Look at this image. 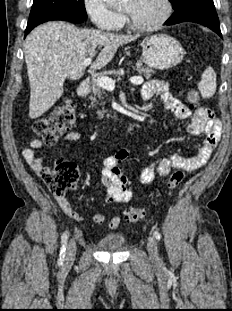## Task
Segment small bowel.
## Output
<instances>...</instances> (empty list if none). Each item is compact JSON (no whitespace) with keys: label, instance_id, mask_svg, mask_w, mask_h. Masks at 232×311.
<instances>
[{"label":"small bowel","instance_id":"1","mask_svg":"<svg viewBox=\"0 0 232 311\" xmlns=\"http://www.w3.org/2000/svg\"><path fill=\"white\" fill-rule=\"evenodd\" d=\"M141 97L145 101H150L154 97H158L164 108L171 111L178 118H190L187 125V131L192 135H204L202 145L198 154L193 157H184L179 154H172L159 162L148 165L141 173L140 182L143 185L152 184L157 176L166 177L174 169H182L187 172L195 171L201 168L207 162L213 150L217 147L221 137V123L214 118L212 112L205 107H198L194 111H190L178 98L170 93L168 83L163 80L147 81L141 89ZM80 132L71 131L66 133L62 140L66 142H76L81 140ZM44 146H52V144H44L41 140L34 139L28 146L22 148V156L31 167V169L39 176L44 178L43 157L36 155V151ZM130 151L128 148H121L115 154L106 157L103 161L101 172V184L106 190V203L125 204L129 202L133 196L131 190L132 181L122 172V166L127 160ZM55 199L62 211L75 221H83V216L77 212L64 195H56ZM107 220V216L98 213L92 216L94 224H102ZM120 224V215H114L107 225L108 229L113 230Z\"/></svg>","mask_w":232,"mask_h":311}]
</instances>
